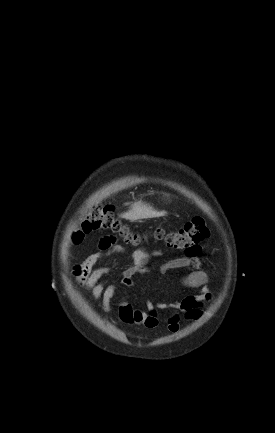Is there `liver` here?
Instances as JSON below:
<instances>
[{
  "label": "liver",
  "mask_w": 275,
  "mask_h": 433,
  "mask_svg": "<svg viewBox=\"0 0 275 433\" xmlns=\"http://www.w3.org/2000/svg\"><path fill=\"white\" fill-rule=\"evenodd\" d=\"M163 214L164 213L162 212L155 211L147 204L136 202L132 205L131 209L127 213L122 215V217L131 221H135L143 218H153Z\"/></svg>",
  "instance_id": "1"
}]
</instances>
